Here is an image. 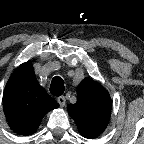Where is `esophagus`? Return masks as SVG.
<instances>
[{
  "label": "esophagus",
  "mask_w": 144,
  "mask_h": 144,
  "mask_svg": "<svg viewBox=\"0 0 144 144\" xmlns=\"http://www.w3.org/2000/svg\"><path fill=\"white\" fill-rule=\"evenodd\" d=\"M57 101H58V103H59V105H60L61 107H64L65 104H66V99H65L64 96L58 97V98H57Z\"/></svg>",
  "instance_id": "obj_1"
}]
</instances>
